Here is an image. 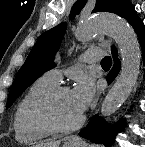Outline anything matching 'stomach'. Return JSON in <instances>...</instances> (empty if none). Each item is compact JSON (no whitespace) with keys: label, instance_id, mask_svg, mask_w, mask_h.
<instances>
[{"label":"stomach","instance_id":"stomach-1","mask_svg":"<svg viewBox=\"0 0 145 147\" xmlns=\"http://www.w3.org/2000/svg\"><path fill=\"white\" fill-rule=\"evenodd\" d=\"M63 147H80V144L72 143V142H65Z\"/></svg>","mask_w":145,"mask_h":147}]
</instances>
